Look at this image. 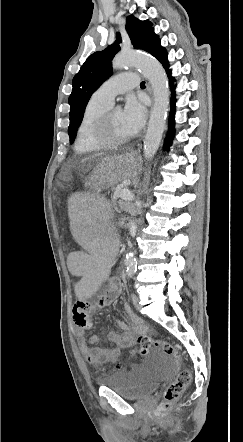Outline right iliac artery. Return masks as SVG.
I'll return each instance as SVG.
<instances>
[{
	"label": "right iliac artery",
	"mask_w": 243,
	"mask_h": 442,
	"mask_svg": "<svg viewBox=\"0 0 243 442\" xmlns=\"http://www.w3.org/2000/svg\"><path fill=\"white\" fill-rule=\"evenodd\" d=\"M132 276V273H128V277H131Z\"/></svg>",
	"instance_id": "obj_1"
}]
</instances>
